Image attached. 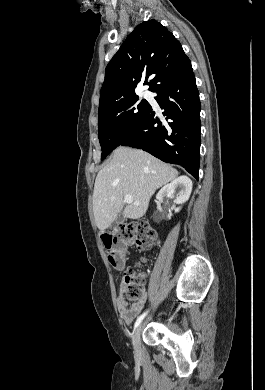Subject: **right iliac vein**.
I'll return each mask as SVG.
<instances>
[{"label": "right iliac vein", "mask_w": 265, "mask_h": 390, "mask_svg": "<svg viewBox=\"0 0 265 390\" xmlns=\"http://www.w3.org/2000/svg\"><path fill=\"white\" fill-rule=\"evenodd\" d=\"M141 330H142V325H139L135 329L132 335V344H133L134 352L138 355L141 353V340H140Z\"/></svg>", "instance_id": "63e3f726"}]
</instances>
